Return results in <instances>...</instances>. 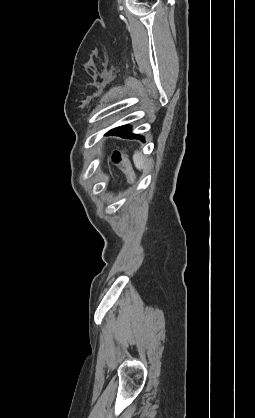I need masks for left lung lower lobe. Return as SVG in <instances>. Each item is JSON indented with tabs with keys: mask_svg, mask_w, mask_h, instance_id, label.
<instances>
[{
	"mask_svg": "<svg viewBox=\"0 0 255 418\" xmlns=\"http://www.w3.org/2000/svg\"><path fill=\"white\" fill-rule=\"evenodd\" d=\"M107 135H118L124 138H129V139H140V140H144V138L140 135L137 134H133L131 133V127L130 126H120L117 128H114L112 130H110Z\"/></svg>",
	"mask_w": 255,
	"mask_h": 418,
	"instance_id": "left-lung-lower-lobe-1",
	"label": "left lung lower lobe"
}]
</instances>
